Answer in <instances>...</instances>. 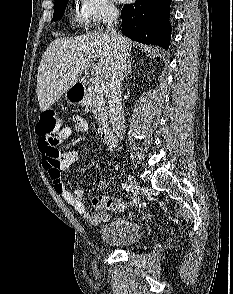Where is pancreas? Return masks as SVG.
<instances>
[{
	"label": "pancreas",
	"instance_id": "obj_1",
	"mask_svg": "<svg viewBox=\"0 0 233 294\" xmlns=\"http://www.w3.org/2000/svg\"><path fill=\"white\" fill-rule=\"evenodd\" d=\"M82 103L87 107L93 108L98 112V125L100 130L107 127V107L105 106V94L97 93L93 88H89L85 92Z\"/></svg>",
	"mask_w": 233,
	"mask_h": 294
}]
</instances>
